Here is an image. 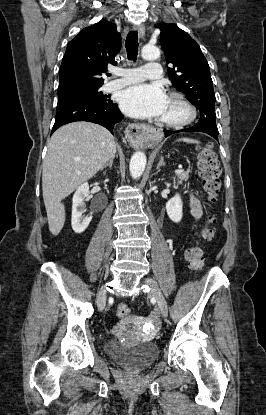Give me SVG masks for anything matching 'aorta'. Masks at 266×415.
<instances>
[{
    "label": "aorta",
    "instance_id": "1",
    "mask_svg": "<svg viewBox=\"0 0 266 415\" xmlns=\"http://www.w3.org/2000/svg\"><path fill=\"white\" fill-rule=\"evenodd\" d=\"M141 55L145 60H155L160 56V51L156 46L145 45L142 48ZM145 166V154L141 151L135 152L130 160V173L132 178H140L145 170Z\"/></svg>",
    "mask_w": 266,
    "mask_h": 415
}]
</instances>
